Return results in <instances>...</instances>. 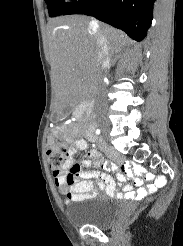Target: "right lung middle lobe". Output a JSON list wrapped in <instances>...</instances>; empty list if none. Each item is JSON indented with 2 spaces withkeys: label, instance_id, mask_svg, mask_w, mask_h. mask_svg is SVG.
Segmentation results:
<instances>
[{
  "label": "right lung middle lobe",
  "instance_id": "dd1d6c3e",
  "mask_svg": "<svg viewBox=\"0 0 183 246\" xmlns=\"http://www.w3.org/2000/svg\"><path fill=\"white\" fill-rule=\"evenodd\" d=\"M45 2L48 4L50 17H55L63 14L73 5V3H65L64 0H45Z\"/></svg>",
  "mask_w": 183,
  "mask_h": 246
}]
</instances>
